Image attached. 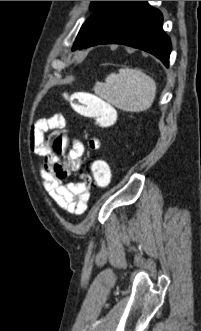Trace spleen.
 I'll return each mask as SVG.
<instances>
[{
    "mask_svg": "<svg viewBox=\"0 0 201 331\" xmlns=\"http://www.w3.org/2000/svg\"><path fill=\"white\" fill-rule=\"evenodd\" d=\"M96 92L118 109L140 112L152 106L156 83L141 70L121 68L118 74L108 75L105 83L97 84Z\"/></svg>",
    "mask_w": 201,
    "mask_h": 331,
    "instance_id": "3e777b00",
    "label": "spleen"
}]
</instances>
